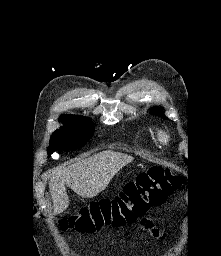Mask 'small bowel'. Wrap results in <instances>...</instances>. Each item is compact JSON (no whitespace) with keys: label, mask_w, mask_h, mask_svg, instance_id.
<instances>
[{"label":"small bowel","mask_w":221,"mask_h":256,"mask_svg":"<svg viewBox=\"0 0 221 256\" xmlns=\"http://www.w3.org/2000/svg\"><path fill=\"white\" fill-rule=\"evenodd\" d=\"M141 224L145 229L149 230L153 236H158L159 231L156 228H154L151 220L144 218L142 219Z\"/></svg>","instance_id":"c3829d8e"}]
</instances>
